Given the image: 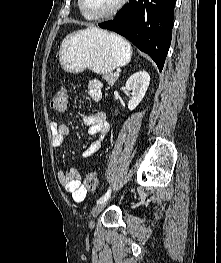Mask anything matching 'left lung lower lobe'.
<instances>
[{
	"label": "left lung lower lobe",
	"mask_w": 221,
	"mask_h": 263,
	"mask_svg": "<svg viewBox=\"0 0 221 263\" xmlns=\"http://www.w3.org/2000/svg\"><path fill=\"white\" fill-rule=\"evenodd\" d=\"M176 0H130L99 27L114 31L147 53L163 69L172 38Z\"/></svg>",
	"instance_id": "obj_1"
}]
</instances>
